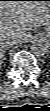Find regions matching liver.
<instances>
[{
  "instance_id": "liver-1",
  "label": "liver",
  "mask_w": 50,
  "mask_h": 111,
  "mask_svg": "<svg viewBox=\"0 0 50 111\" xmlns=\"http://www.w3.org/2000/svg\"><path fill=\"white\" fill-rule=\"evenodd\" d=\"M49 20V3L29 0H12L1 2L0 7V49L10 38L18 42L27 41L33 27H39Z\"/></svg>"
}]
</instances>
